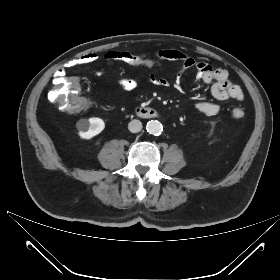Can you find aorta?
<instances>
[{
  "label": "aorta",
  "mask_w": 280,
  "mask_h": 280,
  "mask_svg": "<svg viewBox=\"0 0 280 280\" xmlns=\"http://www.w3.org/2000/svg\"><path fill=\"white\" fill-rule=\"evenodd\" d=\"M147 131L153 135H160L163 130L162 124L157 120H151L147 123Z\"/></svg>",
  "instance_id": "1"
}]
</instances>
